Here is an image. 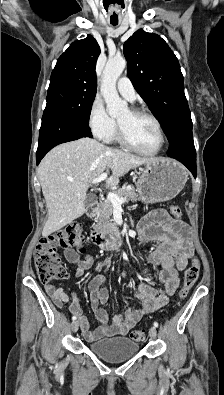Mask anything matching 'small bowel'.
Returning <instances> with one entry per match:
<instances>
[{
    "label": "small bowel",
    "instance_id": "c3829d8e",
    "mask_svg": "<svg viewBox=\"0 0 224 395\" xmlns=\"http://www.w3.org/2000/svg\"><path fill=\"white\" fill-rule=\"evenodd\" d=\"M138 234L142 243L158 242L147 260L152 265L162 267L156 277L164 284V289H155L146 282L139 283L134 290L137 305L127 309L124 314L115 315L111 324L103 308L108 300L103 275L95 276L88 285L91 307L99 322V327L95 330L90 329L75 293L68 296L62 289L55 288L50 282H44V288L56 306L69 304L71 312L78 317L84 338L89 342L113 335H126L144 315L164 307L178 288L179 274L186 268L194 253L190 227L181 220L171 218L163 209H155L143 217L138 224ZM64 257L75 266L78 277L93 264L90 255L80 258L78 252L72 248L64 249ZM143 273L148 276L149 270L145 268Z\"/></svg>",
    "mask_w": 224,
    "mask_h": 395
}]
</instances>
